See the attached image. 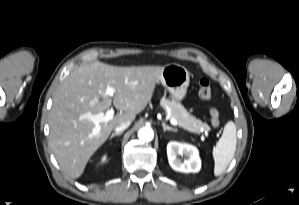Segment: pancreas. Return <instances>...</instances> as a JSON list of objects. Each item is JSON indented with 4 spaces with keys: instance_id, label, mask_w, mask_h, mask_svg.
Listing matches in <instances>:
<instances>
[{
    "instance_id": "obj_1",
    "label": "pancreas",
    "mask_w": 299,
    "mask_h": 205,
    "mask_svg": "<svg viewBox=\"0 0 299 205\" xmlns=\"http://www.w3.org/2000/svg\"><path fill=\"white\" fill-rule=\"evenodd\" d=\"M161 104L170 110V118L177 120L178 125L189 132L199 134L201 132H208L210 126L202 122L190 113L175 99H162Z\"/></svg>"
}]
</instances>
